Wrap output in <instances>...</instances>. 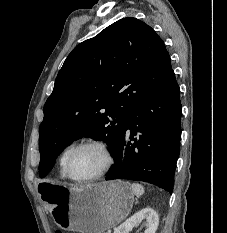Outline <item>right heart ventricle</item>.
<instances>
[{
	"label": "right heart ventricle",
	"instance_id": "right-heart-ventricle-1",
	"mask_svg": "<svg viewBox=\"0 0 227 233\" xmlns=\"http://www.w3.org/2000/svg\"><path fill=\"white\" fill-rule=\"evenodd\" d=\"M74 145H69L68 147H66L64 149V151L61 153L60 157H59V175L61 178L65 179L67 178L66 174H65V169H64V164H65V158L68 154V152L70 151V149L73 147Z\"/></svg>",
	"mask_w": 227,
	"mask_h": 233
}]
</instances>
